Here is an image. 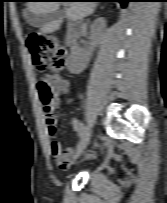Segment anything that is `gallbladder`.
<instances>
[{
  "mask_svg": "<svg viewBox=\"0 0 167 203\" xmlns=\"http://www.w3.org/2000/svg\"><path fill=\"white\" fill-rule=\"evenodd\" d=\"M63 15L64 12L61 10L45 14H35L32 12H27L26 20L33 27H43L57 19L62 18Z\"/></svg>",
  "mask_w": 167,
  "mask_h": 203,
  "instance_id": "1",
  "label": "gallbladder"
}]
</instances>
